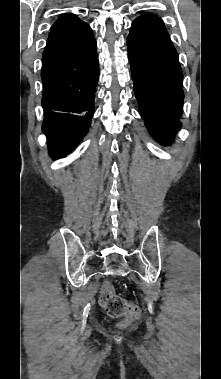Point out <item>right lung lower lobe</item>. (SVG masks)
<instances>
[{
	"instance_id": "right-lung-lower-lobe-1",
	"label": "right lung lower lobe",
	"mask_w": 221,
	"mask_h": 379,
	"mask_svg": "<svg viewBox=\"0 0 221 379\" xmlns=\"http://www.w3.org/2000/svg\"><path fill=\"white\" fill-rule=\"evenodd\" d=\"M99 63L87 23L47 42L42 56V130L51 156H66L86 135L93 117Z\"/></svg>"
}]
</instances>
